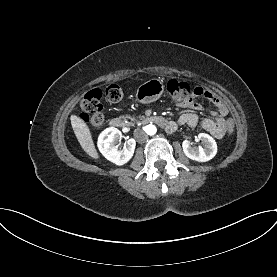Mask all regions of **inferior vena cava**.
I'll use <instances>...</instances> for the list:
<instances>
[{
  "mask_svg": "<svg viewBox=\"0 0 277 277\" xmlns=\"http://www.w3.org/2000/svg\"><path fill=\"white\" fill-rule=\"evenodd\" d=\"M135 138L138 140V142L144 143L148 139V136L143 130L137 129L135 131Z\"/></svg>",
  "mask_w": 277,
  "mask_h": 277,
  "instance_id": "1",
  "label": "inferior vena cava"
}]
</instances>
